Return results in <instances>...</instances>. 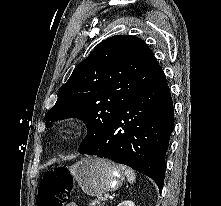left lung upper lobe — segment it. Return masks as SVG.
Masks as SVG:
<instances>
[{
    "mask_svg": "<svg viewBox=\"0 0 221 206\" xmlns=\"http://www.w3.org/2000/svg\"><path fill=\"white\" fill-rule=\"evenodd\" d=\"M161 75L163 71L144 41L130 35L113 36L76 66L45 118L83 120L88 133L80 151L99 139L128 102Z\"/></svg>",
    "mask_w": 221,
    "mask_h": 206,
    "instance_id": "obj_1",
    "label": "left lung upper lobe"
}]
</instances>
